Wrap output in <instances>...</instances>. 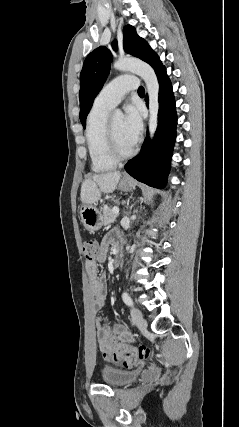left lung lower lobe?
I'll return each instance as SVG.
<instances>
[{"label": "left lung lower lobe", "mask_w": 239, "mask_h": 427, "mask_svg": "<svg viewBox=\"0 0 239 427\" xmlns=\"http://www.w3.org/2000/svg\"><path fill=\"white\" fill-rule=\"evenodd\" d=\"M159 81L158 128L152 142L148 137L138 156L125 166L127 173L140 182L162 189L166 186L170 159L176 138L177 115L171 82L166 68L155 69ZM148 104V97L145 98Z\"/></svg>", "instance_id": "obj_1"}]
</instances>
